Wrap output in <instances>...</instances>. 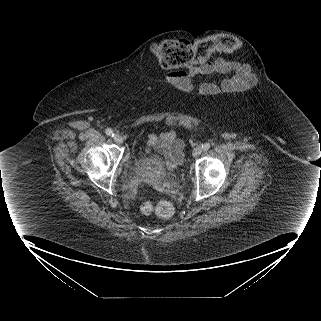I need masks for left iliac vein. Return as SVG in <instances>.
Segmentation results:
<instances>
[{
  "mask_svg": "<svg viewBox=\"0 0 321 321\" xmlns=\"http://www.w3.org/2000/svg\"><path fill=\"white\" fill-rule=\"evenodd\" d=\"M202 153V147L198 146L193 150V157H198Z\"/></svg>",
  "mask_w": 321,
  "mask_h": 321,
  "instance_id": "left-iliac-vein-1",
  "label": "left iliac vein"
}]
</instances>
